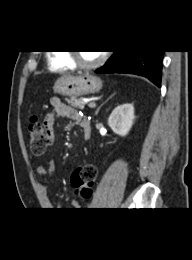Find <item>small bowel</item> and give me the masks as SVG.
Instances as JSON below:
<instances>
[{
    "instance_id": "c3829d8e",
    "label": "small bowel",
    "mask_w": 192,
    "mask_h": 260,
    "mask_svg": "<svg viewBox=\"0 0 192 260\" xmlns=\"http://www.w3.org/2000/svg\"><path fill=\"white\" fill-rule=\"evenodd\" d=\"M50 105L52 107V111L48 113L44 120V126L49 133L51 140L54 139V120L55 117H62V118H70L75 120L79 125L81 121L87 120L86 117L80 115L74 108L64 103L58 97H52L50 99ZM37 173L40 176L50 175L53 176L55 173V162L53 159H47L43 166L37 168ZM41 190L44 194H46V187L45 185H41ZM72 206L75 209L81 208V202L79 200H73Z\"/></svg>"
}]
</instances>
